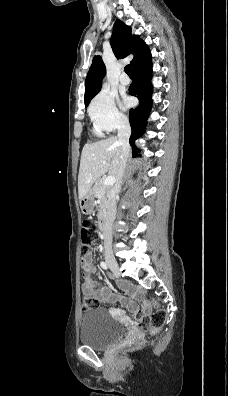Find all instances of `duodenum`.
Masks as SVG:
<instances>
[{
  "mask_svg": "<svg viewBox=\"0 0 228 396\" xmlns=\"http://www.w3.org/2000/svg\"><path fill=\"white\" fill-rule=\"evenodd\" d=\"M98 226H99L100 231L105 235L107 233V223H106V219L104 217H102L99 220Z\"/></svg>",
  "mask_w": 228,
  "mask_h": 396,
  "instance_id": "duodenum-1",
  "label": "duodenum"
}]
</instances>
